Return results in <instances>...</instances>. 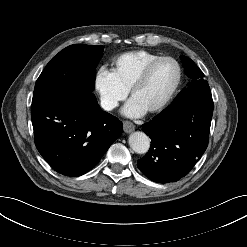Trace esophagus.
Instances as JSON below:
<instances>
[{
  "label": "esophagus",
  "instance_id": "esophagus-1",
  "mask_svg": "<svg viewBox=\"0 0 247 247\" xmlns=\"http://www.w3.org/2000/svg\"><path fill=\"white\" fill-rule=\"evenodd\" d=\"M123 129L126 133H131L135 130V125L130 121L123 122Z\"/></svg>",
  "mask_w": 247,
  "mask_h": 247
}]
</instances>
